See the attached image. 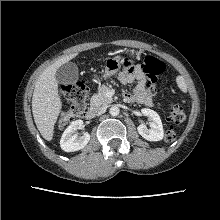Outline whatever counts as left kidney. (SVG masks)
I'll return each mask as SVG.
<instances>
[{
  "mask_svg": "<svg viewBox=\"0 0 220 220\" xmlns=\"http://www.w3.org/2000/svg\"><path fill=\"white\" fill-rule=\"evenodd\" d=\"M141 113L148 117L150 123V128H147L146 125L141 124L137 127L138 133L148 141H160L164 137V131L160 116L157 112L143 108L141 109Z\"/></svg>",
  "mask_w": 220,
  "mask_h": 220,
  "instance_id": "left-kidney-1",
  "label": "left kidney"
}]
</instances>
